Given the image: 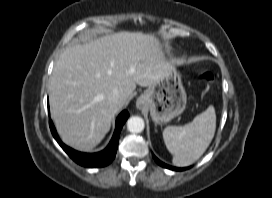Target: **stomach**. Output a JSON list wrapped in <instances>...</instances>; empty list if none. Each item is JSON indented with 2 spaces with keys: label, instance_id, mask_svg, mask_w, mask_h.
<instances>
[{
  "label": "stomach",
  "instance_id": "0dacf381",
  "mask_svg": "<svg viewBox=\"0 0 272 198\" xmlns=\"http://www.w3.org/2000/svg\"><path fill=\"white\" fill-rule=\"evenodd\" d=\"M142 105L150 110L155 124H164L180 115L186 108L187 95L181 75L171 66L164 76L140 97Z\"/></svg>",
  "mask_w": 272,
  "mask_h": 198
}]
</instances>
